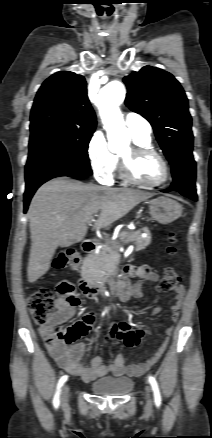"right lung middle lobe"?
I'll return each instance as SVG.
<instances>
[{
    "label": "right lung middle lobe",
    "instance_id": "right-lung-middle-lobe-1",
    "mask_svg": "<svg viewBox=\"0 0 212 438\" xmlns=\"http://www.w3.org/2000/svg\"><path fill=\"white\" fill-rule=\"evenodd\" d=\"M93 132L56 127L31 131L26 166L69 164L90 167L87 150Z\"/></svg>",
    "mask_w": 212,
    "mask_h": 438
}]
</instances>
